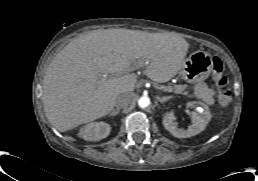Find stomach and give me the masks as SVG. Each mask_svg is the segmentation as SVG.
I'll list each match as a JSON object with an SVG mask.
<instances>
[{"label": "stomach", "instance_id": "1", "mask_svg": "<svg viewBox=\"0 0 258 181\" xmlns=\"http://www.w3.org/2000/svg\"><path fill=\"white\" fill-rule=\"evenodd\" d=\"M212 70V57L205 51H195L183 62L180 76L189 83L207 79Z\"/></svg>", "mask_w": 258, "mask_h": 181}]
</instances>
